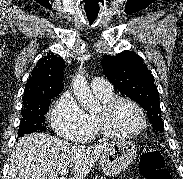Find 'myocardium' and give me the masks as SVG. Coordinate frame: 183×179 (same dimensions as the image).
<instances>
[{"instance_id": "1", "label": "myocardium", "mask_w": 183, "mask_h": 179, "mask_svg": "<svg viewBox=\"0 0 183 179\" xmlns=\"http://www.w3.org/2000/svg\"><path fill=\"white\" fill-rule=\"evenodd\" d=\"M129 103L139 112L141 117L140 127L132 133H118L107 125V118L113 110L121 103ZM97 130L105 137L114 139H129L140 135L147 127V116L142 106L129 97L116 96L101 104L100 111L94 114Z\"/></svg>"}]
</instances>
